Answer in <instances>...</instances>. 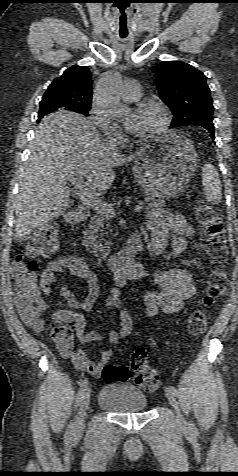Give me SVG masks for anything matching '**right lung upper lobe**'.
Wrapping results in <instances>:
<instances>
[{
	"label": "right lung upper lobe",
	"mask_w": 238,
	"mask_h": 476,
	"mask_svg": "<svg viewBox=\"0 0 238 476\" xmlns=\"http://www.w3.org/2000/svg\"><path fill=\"white\" fill-rule=\"evenodd\" d=\"M91 73L86 66H71L49 85L41 102L56 104L62 110L79 111L91 106Z\"/></svg>",
	"instance_id": "cb5924a9"
}]
</instances>
